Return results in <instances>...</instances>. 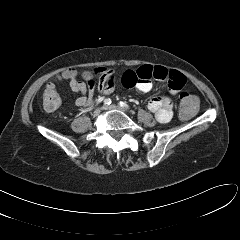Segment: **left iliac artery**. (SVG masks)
I'll use <instances>...</instances> for the list:
<instances>
[{
  "label": "left iliac artery",
  "mask_w": 240,
  "mask_h": 240,
  "mask_svg": "<svg viewBox=\"0 0 240 240\" xmlns=\"http://www.w3.org/2000/svg\"><path fill=\"white\" fill-rule=\"evenodd\" d=\"M119 106L126 110L129 109V106L125 102H119Z\"/></svg>",
  "instance_id": "1"
}]
</instances>
